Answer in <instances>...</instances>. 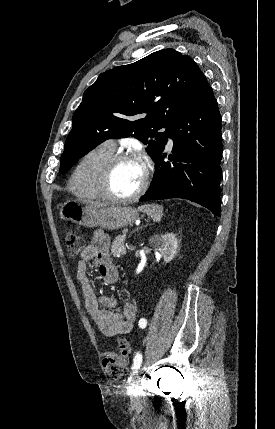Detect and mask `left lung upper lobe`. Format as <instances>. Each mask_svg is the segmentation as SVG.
Returning a JSON list of instances; mask_svg holds the SVG:
<instances>
[{"label":"left lung upper lobe","mask_w":275,"mask_h":429,"mask_svg":"<svg viewBox=\"0 0 275 429\" xmlns=\"http://www.w3.org/2000/svg\"><path fill=\"white\" fill-rule=\"evenodd\" d=\"M200 71L174 49L101 73L83 94L61 157L60 173L107 139L135 137L154 159L189 103Z\"/></svg>","instance_id":"1"}]
</instances>
